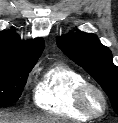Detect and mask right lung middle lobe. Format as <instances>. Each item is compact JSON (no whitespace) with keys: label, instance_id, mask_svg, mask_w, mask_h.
<instances>
[{"label":"right lung middle lobe","instance_id":"1","mask_svg":"<svg viewBox=\"0 0 118 123\" xmlns=\"http://www.w3.org/2000/svg\"><path fill=\"white\" fill-rule=\"evenodd\" d=\"M31 68L0 60V105L15 103L21 96Z\"/></svg>","mask_w":118,"mask_h":123}]
</instances>
